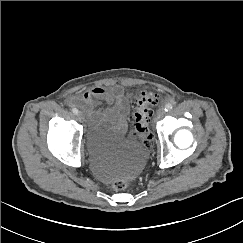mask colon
<instances>
[{"mask_svg": "<svg viewBox=\"0 0 243 243\" xmlns=\"http://www.w3.org/2000/svg\"><path fill=\"white\" fill-rule=\"evenodd\" d=\"M137 92L138 95L133 102L131 121L134 135L144 146L148 147L153 138L150 128L153 108L159 103V96L154 92L146 91L143 84L138 85ZM127 186L128 182L125 179H117L112 184L113 189L116 191H123Z\"/></svg>", "mask_w": 243, "mask_h": 243, "instance_id": "1", "label": "colon"}]
</instances>
